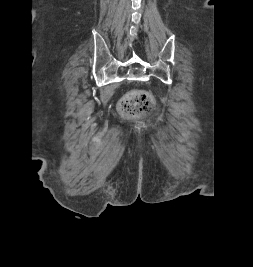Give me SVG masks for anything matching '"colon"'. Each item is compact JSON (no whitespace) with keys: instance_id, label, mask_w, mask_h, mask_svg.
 Segmentation results:
<instances>
[{"instance_id":"5ec220e1","label":"colon","mask_w":253,"mask_h":267,"mask_svg":"<svg viewBox=\"0 0 253 267\" xmlns=\"http://www.w3.org/2000/svg\"><path fill=\"white\" fill-rule=\"evenodd\" d=\"M155 106L153 96L144 90H133L119 102V111L125 117H139L149 113Z\"/></svg>"}]
</instances>
